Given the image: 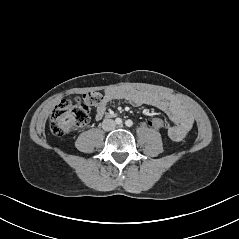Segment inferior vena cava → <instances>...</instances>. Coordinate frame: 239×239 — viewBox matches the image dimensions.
<instances>
[{"instance_id": "1", "label": "inferior vena cava", "mask_w": 239, "mask_h": 239, "mask_svg": "<svg viewBox=\"0 0 239 239\" xmlns=\"http://www.w3.org/2000/svg\"><path fill=\"white\" fill-rule=\"evenodd\" d=\"M116 127V123L112 119H104L102 122V128L105 131L113 130Z\"/></svg>"}]
</instances>
